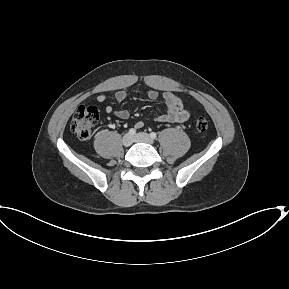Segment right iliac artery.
I'll return each mask as SVG.
<instances>
[{
    "instance_id": "obj_1",
    "label": "right iliac artery",
    "mask_w": 289,
    "mask_h": 289,
    "mask_svg": "<svg viewBox=\"0 0 289 289\" xmlns=\"http://www.w3.org/2000/svg\"><path fill=\"white\" fill-rule=\"evenodd\" d=\"M131 136L136 134V130L131 128L128 132Z\"/></svg>"
}]
</instances>
